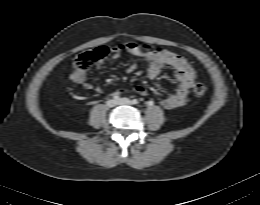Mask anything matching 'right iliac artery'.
I'll use <instances>...</instances> for the list:
<instances>
[{
    "label": "right iliac artery",
    "instance_id": "1",
    "mask_svg": "<svg viewBox=\"0 0 260 205\" xmlns=\"http://www.w3.org/2000/svg\"><path fill=\"white\" fill-rule=\"evenodd\" d=\"M113 98H114L115 100H118V99H119V96H118V95H114Z\"/></svg>",
    "mask_w": 260,
    "mask_h": 205
}]
</instances>
